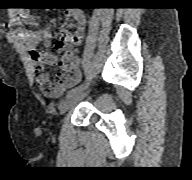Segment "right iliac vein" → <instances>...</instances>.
I'll use <instances>...</instances> for the list:
<instances>
[{"mask_svg":"<svg viewBox=\"0 0 192 180\" xmlns=\"http://www.w3.org/2000/svg\"><path fill=\"white\" fill-rule=\"evenodd\" d=\"M86 93L79 92L78 94L67 98L60 107V113L64 114L72 109L81 99L85 97Z\"/></svg>","mask_w":192,"mask_h":180,"instance_id":"1","label":"right iliac vein"}]
</instances>
